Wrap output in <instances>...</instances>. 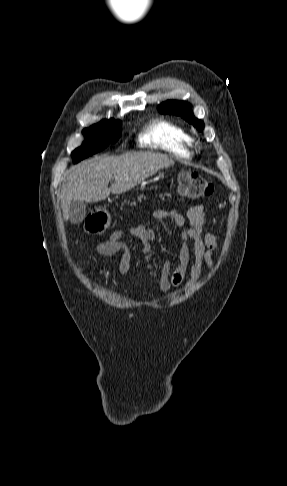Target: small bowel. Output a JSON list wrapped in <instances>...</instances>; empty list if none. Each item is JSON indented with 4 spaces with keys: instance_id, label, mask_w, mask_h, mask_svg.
Listing matches in <instances>:
<instances>
[{
    "instance_id": "c3829d8e",
    "label": "small bowel",
    "mask_w": 287,
    "mask_h": 486,
    "mask_svg": "<svg viewBox=\"0 0 287 486\" xmlns=\"http://www.w3.org/2000/svg\"><path fill=\"white\" fill-rule=\"evenodd\" d=\"M156 220L172 221L180 232L181 246L178 252L179 264L173 267V258L168 254L159 278V289L167 293L173 288H191L201 277L203 264L213 268V256L217 247V237L205 232L206 212L201 206L191 207L185 215L178 209H158L152 213ZM127 233L140 241L143 253H149L151 244L157 240L155 231L146 225L129 227ZM125 231L116 230L109 238L96 246L100 256L111 257L120 254L119 272L126 275L131 267V249L123 241ZM190 244L192 247H190ZM193 262L189 267L191 259ZM188 273V277L187 276Z\"/></svg>"
}]
</instances>
